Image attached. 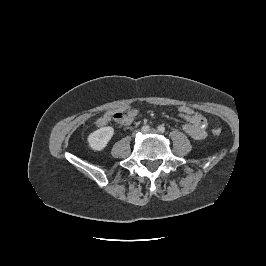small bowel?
Wrapping results in <instances>:
<instances>
[{
    "label": "small bowel",
    "mask_w": 266,
    "mask_h": 266,
    "mask_svg": "<svg viewBox=\"0 0 266 266\" xmlns=\"http://www.w3.org/2000/svg\"><path fill=\"white\" fill-rule=\"evenodd\" d=\"M134 117L126 124H130L137 115V110L133 109ZM111 112H106L97 119V126H105L111 120ZM184 121L183 130L194 140H203L207 136V120L201 114L196 113L191 117L179 115Z\"/></svg>",
    "instance_id": "1"
}]
</instances>
